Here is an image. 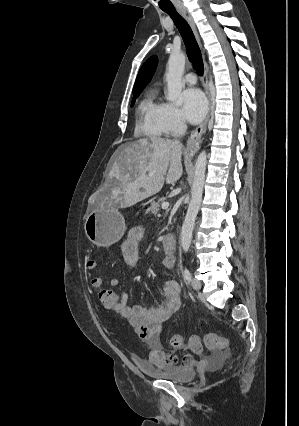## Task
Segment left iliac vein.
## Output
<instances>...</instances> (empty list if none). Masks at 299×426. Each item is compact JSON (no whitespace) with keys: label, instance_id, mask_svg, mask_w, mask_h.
I'll return each mask as SVG.
<instances>
[{"label":"left iliac vein","instance_id":"4c4485c4","mask_svg":"<svg viewBox=\"0 0 299 426\" xmlns=\"http://www.w3.org/2000/svg\"><path fill=\"white\" fill-rule=\"evenodd\" d=\"M191 285L194 290H200L202 287V283L195 278L191 279Z\"/></svg>","mask_w":299,"mask_h":426}]
</instances>
